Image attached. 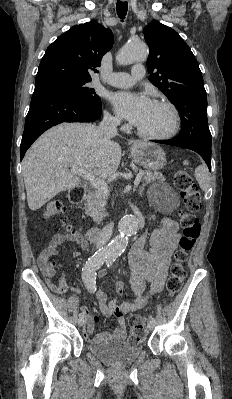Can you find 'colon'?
<instances>
[{
  "label": "colon",
  "mask_w": 232,
  "mask_h": 399,
  "mask_svg": "<svg viewBox=\"0 0 232 399\" xmlns=\"http://www.w3.org/2000/svg\"><path fill=\"white\" fill-rule=\"evenodd\" d=\"M173 179L177 182L182 199L180 202L179 214L180 222H183L182 230L183 236L178 241V247L175 253V260L171 263L169 274L167 276V282L165 289L160 297V302L164 306H169L177 296L178 289L181 288L182 281L185 274V263L189 260V252L192 249L194 240L198 239V235H201L200 225H198V218L196 214L201 211V203L199 197L201 191L193 184L190 179V175H187L183 170H177L173 174ZM47 216L55 214V219H61V215L65 214L67 208L65 205L60 204L57 200H52L48 204ZM55 256V251L51 247H46L37 256V261L41 265H46ZM47 278L51 281V290L58 292L62 298H67L71 294V289L64 283L60 278L58 270L48 268ZM129 324L131 330H133V336L131 341H144V335H146L145 325H142L139 317H129ZM127 347H133V342H127Z\"/></svg>",
  "instance_id": "obj_1"
}]
</instances>
